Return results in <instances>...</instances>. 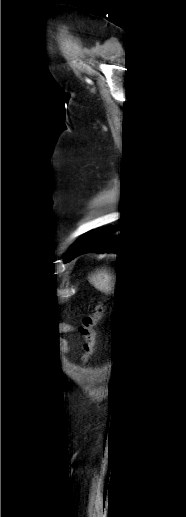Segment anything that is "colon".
<instances>
[{
	"label": "colon",
	"mask_w": 186,
	"mask_h": 517,
	"mask_svg": "<svg viewBox=\"0 0 186 517\" xmlns=\"http://www.w3.org/2000/svg\"><path fill=\"white\" fill-rule=\"evenodd\" d=\"M104 316V308L101 305L82 318L80 332L84 338L83 353L81 355L82 362H87L95 351L96 344V327Z\"/></svg>",
	"instance_id": "1"
}]
</instances>
